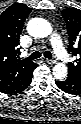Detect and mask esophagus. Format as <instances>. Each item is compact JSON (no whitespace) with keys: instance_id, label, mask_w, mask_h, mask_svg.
I'll return each instance as SVG.
<instances>
[{"instance_id":"1","label":"esophagus","mask_w":81,"mask_h":124,"mask_svg":"<svg viewBox=\"0 0 81 124\" xmlns=\"http://www.w3.org/2000/svg\"><path fill=\"white\" fill-rule=\"evenodd\" d=\"M45 61L49 64H55L56 63V61L54 59H46Z\"/></svg>"}]
</instances>
